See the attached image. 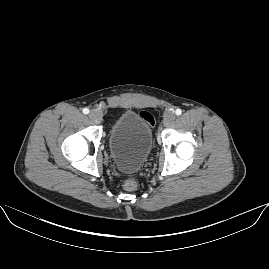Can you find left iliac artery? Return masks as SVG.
<instances>
[{
  "instance_id": "left-iliac-artery-1",
  "label": "left iliac artery",
  "mask_w": 269,
  "mask_h": 269,
  "mask_svg": "<svg viewBox=\"0 0 269 269\" xmlns=\"http://www.w3.org/2000/svg\"><path fill=\"white\" fill-rule=\"evenodd\" d=\"M181 113H182V110H181V109H176V110H175V114H176V115H181Z\"/></svg>"
}]
</instances>
